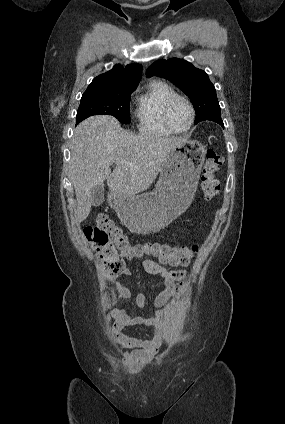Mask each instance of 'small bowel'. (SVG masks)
I'll return each mask as SVG.
<instances>
[{
    "label": "small bowel",
    "instance_id": "small-bowel-1",
    "mask_svg": "<svg viewBox=\"0 0 285 424\" xmlns=\"http://www.w3.org/2000/svg\"><path fill=\"white\" fill-rule=\"evenodd\" d=\"M142 266L147 272L158 276L165 285V288L153 300V304L158 310L148 317L118 309L111 310L110 316L113 321L112 334L114 339L122 345L134 348L133 351L122 354V361L126 364L131 363L138 356H150L154 354L158 349L159 342L156 338L137 339L129 337L124 334L123 330L137 326H156L165 315L164 307L170 299L173 297L183 298L186 291L185 280L187 272L185 270H169L165 266L150 259H144ZM131 274L132 271L128 267H125L122 271L124 277H129ZM115 287L120 297L125 299L133 297V292L124 285L122 280H116ZM149 302L150 296L142 289H139L136 294L137 305L140 308H144Z\"/></svg>",
    "mask_w": 285,
    "mask_h": 424
}]
</instances>
